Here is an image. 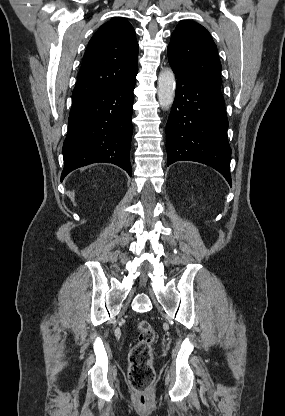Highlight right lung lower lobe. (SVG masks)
Segmentation results:
<instances>
[{
  "label": "right lung lower lobe",
  "instance_id": "98d812e1",
  "mask_svg": "<svg viewBox=\"0 0 285 416\" xmlns=\"http://www.w3.org/2000/svg\"><path fill=\"white\" fill-rule=\"evenodd\" d=\"M136 75L104 93L73 102L63 144L61 180L72 170L96 162L113 163L131 176Z\"/></svg>",
  "mask_w": 285,
  "mask_h": 416
}]
</instances>
